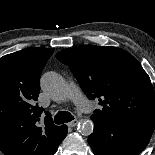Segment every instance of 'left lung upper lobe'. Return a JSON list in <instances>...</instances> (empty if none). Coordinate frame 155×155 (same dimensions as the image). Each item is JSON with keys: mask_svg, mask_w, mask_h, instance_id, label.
I'll use <instances>...</instances> for the list:
<instances>
[{"mask_svg": "<svg viewBox=\"0 0 155 155\" xmlns=\"http://www.w3.org/2000/svg\"><path fill=\"white\" fill-rule=\"evenodd\" d=\"M56 58L68 65L89 99L102 110L91 117L107 120H155V94L140 63L117 47L83 46L64 49Z\"/></svg>", "mask_w": 155, "mask_h": 155, "instance_id": "obj_1", "label": "left lung upper lobe"}]
</instances>
